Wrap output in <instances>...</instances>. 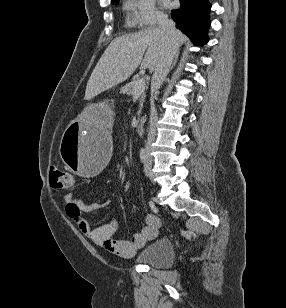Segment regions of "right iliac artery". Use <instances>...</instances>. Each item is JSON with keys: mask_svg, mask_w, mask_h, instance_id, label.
Instances as JSON below:
<instances>
[{"mask_svg": "<svg viewBox=\"0 0 286 308\" xmlns=\"http://www.w3.org/2000/svg\"><path fill=\"white\" fill-rule=\"evenodd\" d=\"M147 155H148V153H147V151H146V149L145 148H142L141 150H140V159H141V161H142V163H145L146 162V159H147ZM148 204H149V208H150V210H152L153 212H158V207H156V205H155V203H153V201L152 200H149L148 201Z\"/></svg>", "mask_w": 286, "mask_h": 308, "instance_id": "1", "label": "right iliac artery"}]
</instances>
